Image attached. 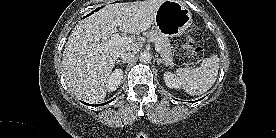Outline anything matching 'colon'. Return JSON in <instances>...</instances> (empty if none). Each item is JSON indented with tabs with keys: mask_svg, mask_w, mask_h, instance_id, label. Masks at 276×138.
Masks as SVG:
<instances>
[{
	"mask_svg": "<svg viewBox=\"0 0 276 138\" xmlns=\"http://www.w3.org/2000/svg\"><path fill=\"white\" fill-rule=\"evenodd\" d=\"M204 32L199 28H193L184 35L173 40L174 57L179 65H194L199 63L204 57V50L195 46V43L201 41Z\"/></svg>",
	"mask_w": 276,
	"mask_h": 138,
	"instance_id": "5ec220e1",
	"label": "colon"
}]
</instances>
